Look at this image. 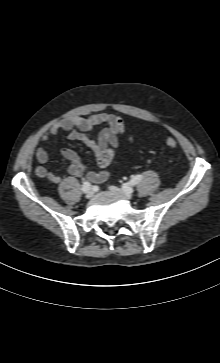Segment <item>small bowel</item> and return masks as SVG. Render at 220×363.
Masks as SVG:
<instances>
[{
    "label": "small bowel",
    "mask_w": 220,
    "mask_h": 363,
    "mask_svg": "<svg viewBox=\"0 0 220 363\" xmlns=\"http://www.w3.org/2000/svg\"><path fill=\"white\" fill-rule=\"evenodd\" d=\"M105 125L94 140L92 131L96 126ZM68 133L69 139L78 140L91 148L96 156L97 165L100 171H90L80 160L79 155L72 149L63 147L60 154L70 162L68 172L74 177L85 175L92 183H102L110 176L107 166L110 162L106 161V154L109 149L115 150L118 147V139L125 132V124L121 117L111 113H94L89 116H73L49 127L41 136V142L50 145L53 137L59 132ZM35 157L40 164L48 161L49 153L47 147H38ZM38 177L46 178L51 183L57 184L61 181L59 175L53 173L44 166L35 169Z\"/></svg>",
    "instance_id": "small-bowel-1"
}]
</instances>
